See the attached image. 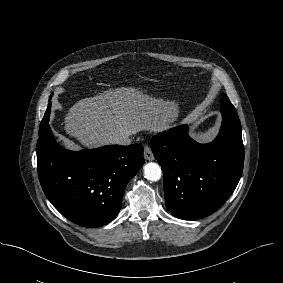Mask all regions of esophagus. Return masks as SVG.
<instances>
[{
	"instance_id": "34e87169",
	"label": "esophagus",
	"mask_w": 283,
	"mask_h": 283,
	"mask_svg": "<svg viewBox=\"0 0 283 283\" xmlns=\"http://www.w3.org/2000/svg\"><path fill=\"white\" fill-rule=\"evenodd\" d=\"M144 158L148 161H152L154 159V155L149 145L144 146Z\"/></svg>"
}]
</instances>
